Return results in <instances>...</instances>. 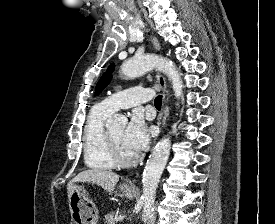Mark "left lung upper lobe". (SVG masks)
I'll return each mask as SVG.
<instances>
[{"label":"left lung upper lobe","mask_w":275,"mask_h":224,"mask_svg":"<svg viewBox=\"0 0 275 224\" xmlns=\"http://www.w3.org/2000/svg\"><path fill=\"white\" fill-rule=\"evenodd\" d=\"M115 65L111 64L108 69L107 72H105L102 77L100 78L99 82L96 85L95 88V95H98L102 92L103 89H105L107 87V85L110 83L111 79H112V72L114 70Z\"/></svg>","instance_id":"5c2ea615"}]
</instances>
